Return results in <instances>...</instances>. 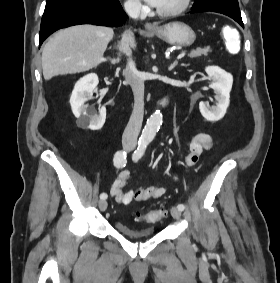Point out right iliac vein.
<instances>
[{
  "label": "right iliac vein",
  "mask_w": 280,
  "mask_h": 283,
  "mask_svg": "<svg viewBox=\"0 0 280 283\" xmlns=\"http://www.w3.org/2000/svg\"><path fill=\"white\" fill-rule=\"evenodd\" d=\"M126 148H128V146H126ZM99 208L101 211H105L107 209V202L105 200H100Z\"/></svg>",
  "instance_id": "obj_1"
}]
</instances>
